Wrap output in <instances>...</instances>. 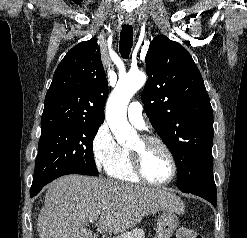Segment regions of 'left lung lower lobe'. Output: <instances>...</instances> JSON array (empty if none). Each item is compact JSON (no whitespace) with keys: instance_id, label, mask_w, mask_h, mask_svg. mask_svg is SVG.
Instances as JSON below:
<instances>
[{"instance_id":"0a47b994","label":"left lung lower lobe","mask_w":247,"mask_h":238,"mask_svg":"<svg viewBox=\"0 0 247 238\" xmlns=\"http://www.w3.org/2000/svg\"><path fill=\"white\" fill-rule=\"evenodd\" d=\"M183 192L198 195L211 202L214 206L217 204V192L213 177L202 179L184 189Z\"/></svg>"}]
</instances>
